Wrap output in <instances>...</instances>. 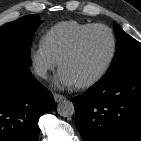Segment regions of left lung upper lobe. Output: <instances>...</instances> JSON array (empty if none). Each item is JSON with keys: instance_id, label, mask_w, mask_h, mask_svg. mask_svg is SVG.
<instances>
[{"instance_id": "obj_1", "label": "left lung upper lobe", "mask_w": 141, "mask_h": 141, "mask_svg": "<svg viewBox=\"0 0 141 141\" xmlns=\"http://www.w3.org/2000/svg\"><path fill=\"white\" fill-rule=\"evenodd\" d=\"M116 36V53L103 79L121 72L141 68V43L125 33L119 25L114 23Z\"/></svg>"}]
</instances>
